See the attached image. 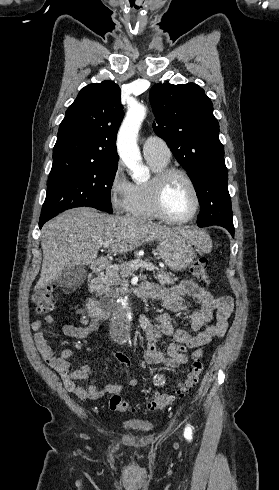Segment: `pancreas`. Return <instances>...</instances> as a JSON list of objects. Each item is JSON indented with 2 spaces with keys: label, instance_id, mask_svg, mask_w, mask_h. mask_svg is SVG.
<instances>
[{
  "label": "pancreas",
  "instance_id": "1",
  "mask_svg": "<svg viewBox=\"0 0 279 490\" xmlns=\"http://www.w3.org/2000/svg\"><path fill=\"white\" fill-rule=\"evenodd\" d=\"M131 262H123L121 266H116V268H109L106 270L105 276H100L95 280V292H98V296H103V294H109L111 292V286H115V284H122L125 278L134 274L135 268L131 266ZM174 274H170V272H164V270H159L157 274H155V280H158L159 284H174L175 280L173 278Z\"/></svg>",
  "mask_w": 279,
  "mask_h": 490
}]
</instances>
